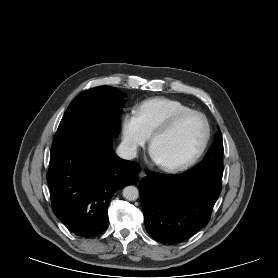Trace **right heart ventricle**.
<instances>
[{
	"mask_svg": "<svg viewBox=\"0 0 278 278\" xmlns=\"http://www.w3.org/2000/svg\"><path fill=\"white\" fill-rule=\"evenodd\" d=\"M191 109L185 103L167 97H153L143 100L136 108L144 128L149 134L173 115Z\"/></svg>",
	"mask_w": 278,
	"mask_h": 278,
	"instance_id": "right-heart-ventricle-1",
	"label": "right heart ventricle"
}]
</instances>
